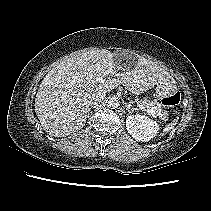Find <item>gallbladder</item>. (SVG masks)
I'll return each instance as SVG.
<instances>
[{
  "mask_svg": "<svg viewBox=\"0 0 211 211\" xmlns=\"http://www.w3.org/2000/svg\"><path fill=\"white\" fill-rule=\"evenodd\" d=\"M124 54H127V53H125V52L118 53L117 52V56L124 55Z\"/></svg>",
  "mask_w": 211,
  "mask_h": 211,
  "instance_id": "gallbladder-1",
  "label": "gallbladder"
}]
</instances>
